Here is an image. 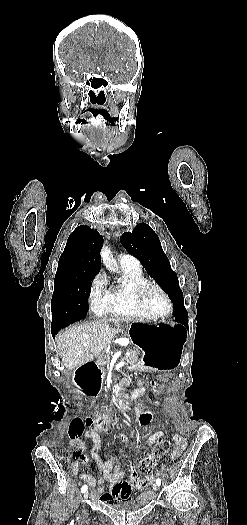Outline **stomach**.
<instances>
[{
  "label": "stomach",
  "mask_w": 247,
  "mask_h": 525,
  "mask_svg": "<svg viewBox=\"0 0 247 525\" xmlns=\"http://www.w3.org/2000/svg\"><path fill=\"white\" fill-rule=\"evenodd\" d=\"M131 340L143 351L141 368L172 371L178 367L184 352L187 332L175 323H134L129 328Z\"/></svg>",
  "instance_id": "0dacf381"
}]
</instances>
